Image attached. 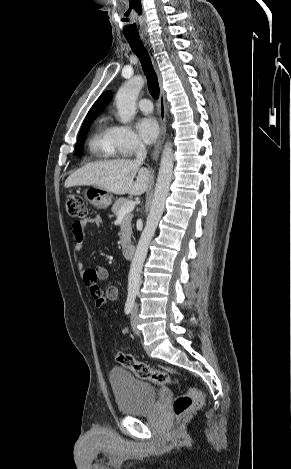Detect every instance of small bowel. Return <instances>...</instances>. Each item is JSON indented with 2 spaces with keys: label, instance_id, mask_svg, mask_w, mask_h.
Returning a JSON list of instances; mask_svg holds the SVG:
<instances>
[{
  "label": "small bowel",
  "instance_id": "small-bowel-1",
  "mask_svg": "<svg viewBox=\"0 0 291 469\" xmlns=\"http://www.w3.org/2000/svg\"><path fill=\"white\" fill-rule=\"evenodd\" d=\"M89 224L100 225V217H92L80 221H75L72 224V235L74 241V250L79 253L82 250V245L86 235V227ZM79 270H83V264L79 262L77 264ZM108 277V271L105 267L98 266L94 269L87 270L83 274L84 282L88 286L89 291L94 298L95 296H101L106 302L107 300L115 301L119 296L118 288L115 286H110L106 294L103 295L101 288L99 287L98 281L104 280Z\"/></svg>",
  "mask_w": 291,
  "mask_h": 469
}]
</instances>
